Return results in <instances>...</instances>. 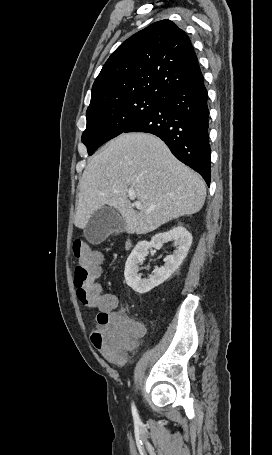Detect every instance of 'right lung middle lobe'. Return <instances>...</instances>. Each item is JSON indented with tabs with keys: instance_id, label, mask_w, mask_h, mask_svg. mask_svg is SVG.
Returning <instances> with one entry per match:
<instances>
[{
	"instance_id": "obj_1",
	"label": "right lung middle lobe",
	"mask_w": 272,
	"mask_h": 455,
	"mask_svg": "<svg viewBox=\"0 0 272 455\" xmlns=\"http://www.w3.org/2000/svg\"><path fill=\"white\" fill-rule=\"evenodd\" d=\"M162 100V97L138 95L87 110V127L82 134V142L87 146L89 155L156 110Z\"/></svg>"
}]
</instances>
